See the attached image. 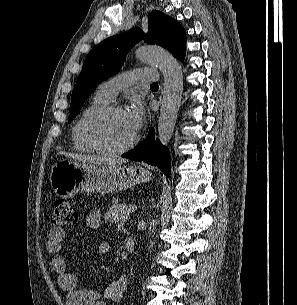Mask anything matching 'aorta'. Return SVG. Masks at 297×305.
Masks as SVG:
<instances>
[{
    "label": "aorta",
    "instance_id": "762f6f07",
    "mask_svg": "<svg viewBox=\"0 0 297 305\" xmlns=\"http://www.w3.org/2000/svg\"><path fill=\"white\" fill-rule=\"evenodd\" d=\"M136 57L158 67L164 76V92L158 119L160 142L167 146L172 138L181 105L183 73L177 60L166 50L152 46H139Z\"/></svg>",
    "mask_w": 297,
    "mask_h": 305
}]
</instances>
